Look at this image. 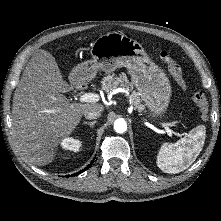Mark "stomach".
<instances>
[{
    "mask_svg": "<svg viewBox=\"0 0 221 221\" xmlns=\"http://www.w3.org/2000/svg\"><path fill=\"white\" fill-rule=\"evenodd\" d=\"M92 59L78 64L72 75L89 81L98 70L111 73L126 67L138 95L153 117H162L170 103L172 88L165 72L146 54L136 40L118 32L101 35L91 46Z\"/></svg>",
    "mask_w": 221,
    "mask_h": 221,
    "instance_id": "obj_1",
    "label": "stomach"
}]
</instances>
